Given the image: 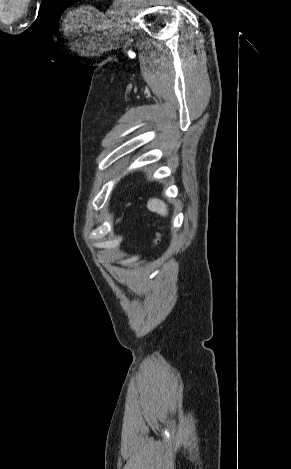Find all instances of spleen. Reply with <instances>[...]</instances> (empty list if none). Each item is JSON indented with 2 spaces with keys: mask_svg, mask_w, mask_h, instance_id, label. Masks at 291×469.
I'll use <instances>...</instances> for the list:
<instances>
[{
  "mask_svg": "<svg viewBox=\"0 0 291 469\" xmlns=\"http://www.w3.org/2000/svg\"><path fill=\"white\" fill-rule=\"evenodd\" d=\"M147 208L151 212H156L163 217L168 215L167 205L156 198L149 199L147 202Z\"/></svg>",
  "mask_w": 291,
  "mask_h": 469,
  "instance_id": "3e777b00",
  "label": "spleen"
}]
</instances>
